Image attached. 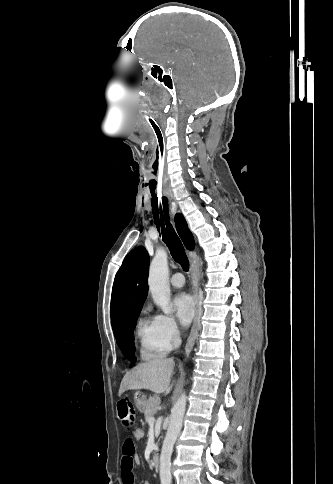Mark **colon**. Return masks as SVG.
<instances>
[{
	"mask_svg": "<svg viewBox=\"0 0 333 484\" xmlns=\"http://www.w3.org/2000/svg\"><path fill=\"white\" fill-rule=\"evenodd\" d=\"M145 437V431L142 427H136L133 430V438L137 441L142 440Z\"/></svg>",
	"mask_w": 333,
	"mask_h": 484,
	"instance_id": "5ec220e1",
	"label": "colon"
}]
</instances>
